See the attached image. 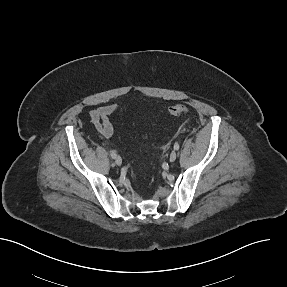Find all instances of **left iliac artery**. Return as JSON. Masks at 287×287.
I'll use <instances>...</instances> for the list:
<instances>
[{
  "label": "left iliac artery",
  "instance_id": "44dca946",
  "mask_svg": "<svg viewBox=\"0 0 287 287\" xmlns=\"http://www.w3.org/2000/svg\"><path fill=\"white\" fill-rule=\"evenodd\" d=\"M179 147H180V146H179L178 143H175V144H174V149H175V150H179Z\"/></svg>",
  "mask_w": 287,
  "mask_h": 287
}]
</instances>
